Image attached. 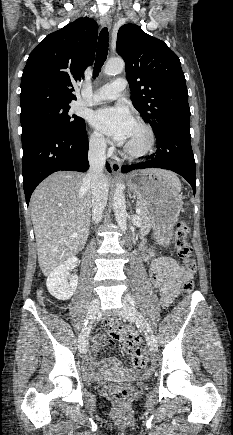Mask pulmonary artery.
Masks as SVG:
<instances>
[{
    "instance_id": "1",
    "label": "pulmonary artery",
    "mask_w": 233,
    "mask_h": 435,
    "mask_svg": "<svg viewBox=\"0 0 233 435\" xmlns=\"http://www.w3.org/2000/svg\"><path fill=\"white\" fill-rule=\"evenodd\" d=\"M126 89V80L124 78H117L114 82L108 83L97 90L91 100H81V104H98L107 100H114L120 97L122 92Z\"/></svg>"
}]
</instances>
